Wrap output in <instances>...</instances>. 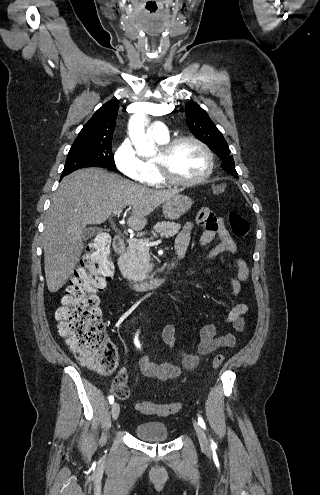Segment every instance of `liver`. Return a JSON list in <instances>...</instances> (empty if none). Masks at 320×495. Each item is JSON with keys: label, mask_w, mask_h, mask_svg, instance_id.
<instances>
[{"label": "liver", "mask_w": 320, "mask_h": 495, "mask_svg": "<svg viewBox=\"0 0 320 495\" xmlns=\"http://www.w3.org/2000/svg\"><path fill=\"white\" fill-rule=\"evenodd\" d=\"M178 190H151L100 168L66 176L45 215L43 242L47 287L57 292L72 275L83 250L87 224H101L112 213L129 206L128 226L142 230L147 216L178 194Z\"/></svg>", "instance_id": "6515ba94"}]
</instances>
